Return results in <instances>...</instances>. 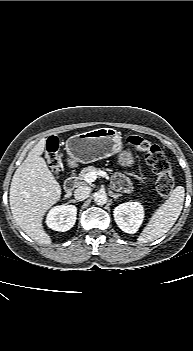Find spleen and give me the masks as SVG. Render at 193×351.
<instances>
[{
  "instance_id": "spleen-1",
  "label": "spleen",
  "mask_w": 193,
  "mask_h": 351,
  "mask_svg": "<svg viewBox=\"0 0 193 351\" xmlns=\"http://www.w3.org/2000/svg\"><path fill=\"white\" fill-rule=\"evenodd\" d=\"M184 198V187L177 186L171 192L170 197L154 212L137 238L138 244L152 242L167 233L182 211Z\"/></svg>"
}]
</instances>
